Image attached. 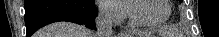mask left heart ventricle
Instances as JSON below:
<instances>
[{
    "label": "left heart ventricle",
    "mask_w": 219,
    "mask_h": 37,
    "mask_svg": "<svg viewBox=\"0 0 219 37\" xmlns=\"http://www.w3.org/2000/svg\"><path fill=\"white\" fill-rule=\"evenodd\" d=\"M133 12L138 19L156 21L166 15L167 9L162 0H143L133 4Z\"/></svg>",
    "instance_id": "b2bd125f"
}]
</instances>
